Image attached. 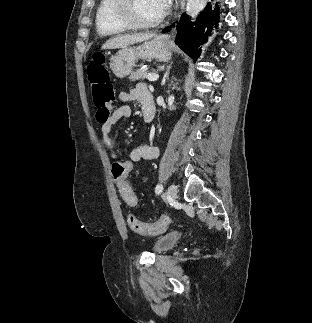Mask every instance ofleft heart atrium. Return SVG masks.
Instances as JSON below:
<instances>
[{"instance_id": "left-heart-atrium-1", "label": "left heart atrium", "mask_w": 312, "mask_h": 323, "mask_svg": "<svg viewBox=\"0 0 312 323\" xmlns=\"http://www.w3.org/2000/svg\"><path fill=\"white\" fill-rule=\"evenodd\" d=\"M174 2L172 0H160V5L155 6L156 12H167L168 8H173Z\"/></svg>"}]
</instances>
